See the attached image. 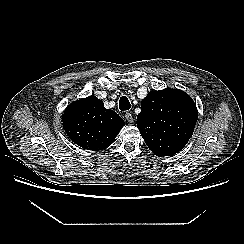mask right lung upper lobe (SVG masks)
<instances>
[{
  "label": "right lung upper lobe",
  "mask_w": 244,
  "mask_h": 244,
  "mask_svg": "<svg viewBox=\"0 0 244 244\" xmlns=\"http://www.w3.org/2000/svg\"><path fill=\"white\" fill-rule=\"evenodd\" d=\"M62 122L67 135L74 143L92 151L111 145L125 125L115 111L106 109L103 102L94 96L68 105Z\"/></svg>",
  "instance_id": "cb5924a9"
}]
</instances>
